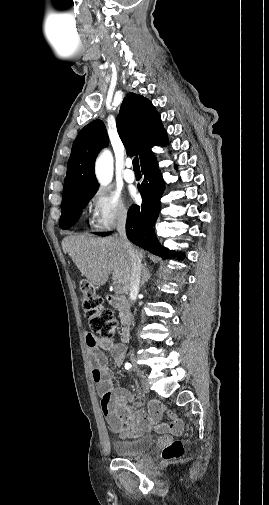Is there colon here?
I'll use <instances>...</instances> for the list:
<instances>
[{
  "label": "colon",
  "instance_id": "1",
  "mask_svg": "<svg viewBox=\"0 0 269 505\" xmlns=\"http://www.w3.org/2000/svg\"><path fill=\"white\" fill-rule=\"evenodd\" d=\"M81 290L83 293L82 307L88 320L89 334L106 338L111 337L116 329L113 312L103 307L101 298L90 282L83 281ZM184 454L185 445L180 440L172 441L162 451V457L166 461L180 459Z\"/></svg>",
  "mask_w": 269,
  "mask_h": 505
}]
</instances>
